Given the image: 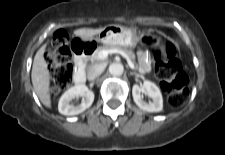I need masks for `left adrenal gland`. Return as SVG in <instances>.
Listing matches in <instances>:
<instances>
[{"label": "left adrenal gland", "instance_id": "left-adrenal-gland-1", "mask_svg": "<svg viewBox=\"0 0 225 155\" xmlns=\"http://www.w3.org/2000/svg\"><path fill=\"white\" fill-rule=\"evenodd\" d=\"M130 74H131V75H137V73H135V72H130Z\"/></svg>", "mask_w": 225, "mask_h": 155}]
</instances>
